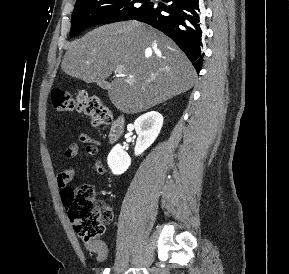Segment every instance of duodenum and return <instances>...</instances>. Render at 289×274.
<instances>
[{
  "label": "duodenum",
  "mask_w": 289,
  "mask_h": 274,
  "mask_svg": "<svg viewBox=\"0 0 289 274\" xmlns=\"http://www.w3.org/2000/svg\"><path fill=\"white\" fill-rule=\"evenodd\" d=\"M124 126L125 120L123 116L120 115L113 120L108 135L109 141L111 143L116 142L121 137L124 131Z\"/></svg>",
  "instance_id": "1"
}]
</instances>
